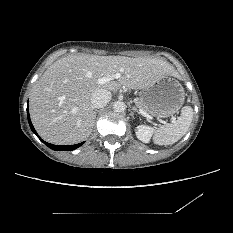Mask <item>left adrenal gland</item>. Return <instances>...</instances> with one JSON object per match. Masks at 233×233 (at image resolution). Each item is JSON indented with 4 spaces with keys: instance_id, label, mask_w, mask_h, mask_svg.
I'll list each match as a JSON object with an SVG mask.
<instances>
[{
    "instance_id": "a2214340",
    "label": "left adrenal gland",
    "mask_w": 233,
    "mask_h": 233,
    "mask_svg": "<svg viewBox=\"0 0 233 233\" xmlns=\"http://www.w3.org/2000/svg\"><path fill=\"white\" fill-rule=\"evenodd\" d=\"M132 110L135 111V112H137L138 114H140V112L137 110L136 107H132Z\"/></svg>"
}]
</instances>
